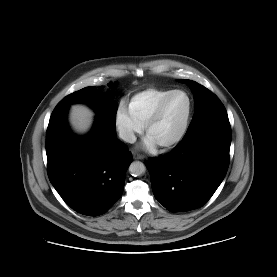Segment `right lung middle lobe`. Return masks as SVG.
<instances>
[{
	"mask_svg": "<svg viewBox=\"0 0 277 277\" xmlns=\"http://www.w3.org/2000/svg\"><path fill=\"white\" fill-rule=\"evenodd\" d=\"M112 93L99 96L95 87H85L63 98L56 109L68 108L72 103H86L96 111L97 119L115 128L117 104Z\"/></svg>",
	"mask_w": 277,
	"mask_h": 277,
	"instance_id": "dd1d6c3e",
	"label": "right lung middle lobe"
}]
</instances>
